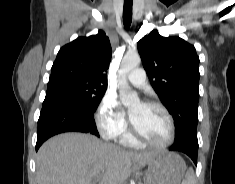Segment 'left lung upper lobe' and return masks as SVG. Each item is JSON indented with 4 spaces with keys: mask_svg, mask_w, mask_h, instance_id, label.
I'll use <instances>...</instances> for the list:
<instances>
[{
    "mask_svg": "<svg viewBox=\"0 0 235 184\" xmlns=\"http://www.w3.org/2000/svg\"><path fill=\"white\" fill-rule=\"evenodd\" d=\"M151 85L175 122V140L198 143L199 57L195 47L157 30L137 44Z\"/></svg>",
    "mask_w": 235,
    "mask_h": 184,
    "instance_id": "obj_1",
    "label": "left lung upper lobe"
}]
</instances>
